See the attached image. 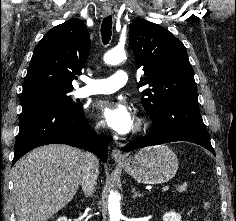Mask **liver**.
Here are the masks:
<instances>
[{
  "label": "liver",
  "instance_id": "1",
  "mask_svg": "<svg viewBox=\"0 0 236 221\" xmlns=\"http://www.w3.org/2000/svg\"><path fill=\"white\" fill-rule=\"evenodd\" d=\"M83 152L50 144L22 157L13 168L18 221H48L74 197L81 182Z\"/></svg>",
  "mask_w": 236,
  "mask_h": 221
}]
</instances>
